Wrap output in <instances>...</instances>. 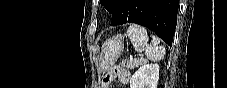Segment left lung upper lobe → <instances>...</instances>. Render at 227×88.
<instances>
[{"label":"left lung upper lobe","instance_id":"5c2ea615","mask_svg":"<svg viewBox=\"0 0 227 88\" xmlns=\"http://www.w3.org/2000/svg\"><path fill=\"white\" fill-rule=\"evenodd\" d=\"M120 0H100L101 4L114 15L116 11L117 4Z\"/></svg>","mask_w":227,"mask_h":88}]
</instances>
